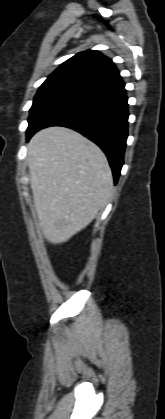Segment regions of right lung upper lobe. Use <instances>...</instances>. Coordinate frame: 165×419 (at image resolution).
<instances>
[{
	"mask_svg": "<svg viewBox=\"0 0 165 419\" xmlns=\"http://www.w3.org/2000/svg\"><path fill=\"white\" fill-rule=\"evenodd\" d=\"M122 80L114 63L98 51L80 52L60 65L39 89L58 87L90 94Z\"/></svg>",
	"mask_w": 165,
	"mask_h": 419,
	"instance_id": "right-lung-upper-lobe-1",
	"label": "right lung upper lobe"
}]
</instances>
